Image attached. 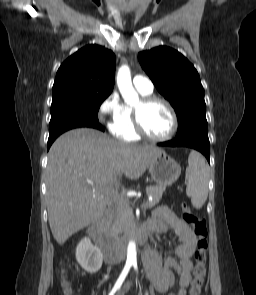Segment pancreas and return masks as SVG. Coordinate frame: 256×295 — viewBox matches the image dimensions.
Listing matches in <instances>:
<instances>
[{
    "instance_id": "cf45deb5",
    "label": "pancreas",
    "mask_w": 256,
    "mask_h": 295,
    "mask_svg": "<svg viewBox=\"0 0 256 295\" xmlns=\"http://www.w3.org/2000/svg\"><path fill=\"white\" fill-rule=\"evenodd\" d=\"M165 191V186L156 185L146 188L148 195L152 196L153 200L144 204L146 208H152L159 203L162 194ZM144 208V209H146ZM131 222V207L127 200H121L116 204L115 211L111 214L109 219V232L112 235H117L126 230Z\"/></svg>"
}]
</instances>
